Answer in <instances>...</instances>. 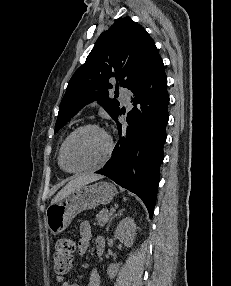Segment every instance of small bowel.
<instances>
[{
	"mask_svg": "<svg viewBox=\"0 0 231 286\" xmlns=\"http://www.w3.org/2000/svg\"><path fill=\"white\" fill-rule=\"evenodd\" d=\"M80 240L78 242V252L80 254H85L90 247V240L92 236V227L88 221H83L79 226ZM102 239L97 240L98 243ZM61 286H79L75 282L65 281ZM88 286H100V276L98 270L93 268L90 273Z\"/></svg>",
	"mask_w": 231,
	"mask_h": 286,
	"instance_id": "obj_1",
	"label": "small bowel"
}]
</instances>
